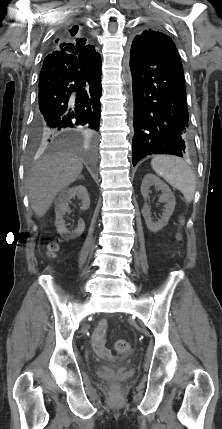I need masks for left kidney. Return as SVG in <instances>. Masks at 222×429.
I'll list each match as a JSON object with an SVG mask.
<instances>
[{"instance_id":"obj_1","label":"left kidney","mask_w":222,"mask_h":429,"mask_svg":"<svg viewBox=\"0 0 222 429\" xmlns=\"http://www.w3.org/2000/svg\"><path fill=\"white\" fill-rule=\"evenodd\" d=\"M153 185L162 191L160 201L165 203V209L163 210L164 212L158 222H153L151 218L150 207L145 204L142 208V215L145 218L148 229L151 232H158L168 223V220L174 211L176 200L174 194L171 192V189L162 180H160V178L153 174L145 175L142 181L141 194L144 199L148 197L150 192L149 189Z\"/></svg>"}]
</instances>
